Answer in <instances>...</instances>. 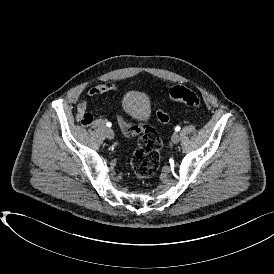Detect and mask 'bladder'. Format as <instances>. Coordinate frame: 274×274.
I'll use <instances>...</instances> for the list:
<instances>
[{
	"label": "bladder",
	"mask_w": 274,
	"mask_h": 274,
	"mask_svg": "<svg viewBox=\"0 0 274 274\" xmlns=\"http://www.w3.org/2000/svg\"><path fill=\"white\" fill-rule=\"evenodd\" d=\"M122 109L136 123H143L144 119L149 115L150 102L145 94L130 92L122 100Z\"/></svg>",
	"instance_id": "obj_1"
}]
</instances>
